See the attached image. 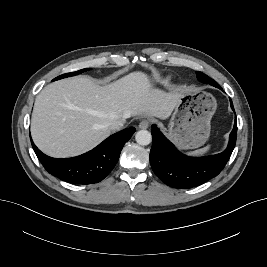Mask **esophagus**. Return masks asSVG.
Returning <instances> with one entry per match:
<instances>
[{
	"instance_id": "obj_1",
	"label": "esophagus",
	"mask_w": 267,
	"mask_h": 267,
	"mask_svg": "<svg viewBox=\"0 0 267 267\" xmlns=\"http://www.w3.org/2000/svg\"><path fill=\"white\" fill-rule=\"evenodd\" d=\"M149 125H150V120H148V119H143L142 121H140L138 127H139L140 129H147V128L149 127Z\"/></svg>"
}]
</instances>
